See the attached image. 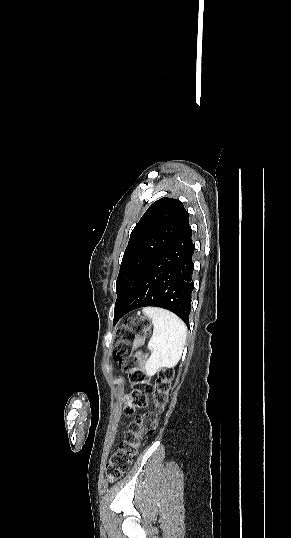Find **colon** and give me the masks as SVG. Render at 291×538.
I'll return each instance as SVG.
<instances>
[{
    "mask_svg": "<svg viewBox=\"0 0 291 538\" xmlns=\"http://www.w3.org/2000/svg\"><path fill=\"white\" fill-rule=\"evenodd\" d=\"M150 321L144 317H131L119 331L120 341L113 355L118 360L120 368L126 372L132 383L131 392L125 397V413L134 415L136 409H145L151 396L157 411H160L168 401V393L173 378L171 370H162L155 385H152L140 368V359L132 353L130 342L136 333H145L150 329ZM157 411H148L135 415L119 448L106 465L107 477L111 480L120 479L129 470L137 452L140 438L144 434H154L158 428Z\"/></svg>",
    "mask_w": 291,
    "mask_h": 538,
    "instance_id": "obj_1",
    "label": "colon"
}]
</instances>
